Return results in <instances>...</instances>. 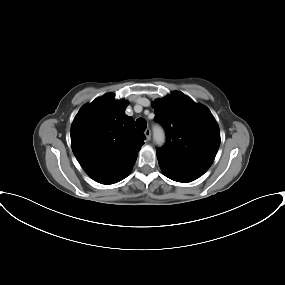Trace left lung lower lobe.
Here are the masks:
<instances>
[{"mask_svg": "<svg viewBox=\"0 0 285 285\" xmlns=\"http://www.w3.org/2000/svg\"><path fill=\"white\" fill-rule=\"evenodd\" d=\"M157 157L163 173L177 182H191L206 172L200 168L174 162L161 154H157Z\"/></svg>", "mask_w": 285, "mask_h": 285, "instance_id": "1", "label": "left lung lower lobe"}]
</instances>
